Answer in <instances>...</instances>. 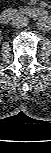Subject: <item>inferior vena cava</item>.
Instances as JSON below:
<instances>
[{
  "label": "inferior vena cava",
  "mask_w": 51,
  "mask_h": 153,
  "mask_svg": "<svg viewBox=\"0 0 51 153\" xmlns=\"http://www.w3.org/2000/svg\"><path fill=\"white\" fill-rule=\"evenodd\" d=\"M28 23V18L24 15H17L12 20V26L18 29L26 27Z\"/></svg>",
  "instance_id": "1"
}]
</instances>
